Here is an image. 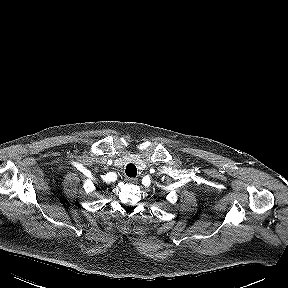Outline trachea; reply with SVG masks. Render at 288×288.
<instances>
[{"label": "trachea", "instance_id": "trachea-1", "mask_svg": "<svg viewBox=\"0 0 288 288\" xmlns=\"http://www.w3.org/2000/svg\"><path fill=\"white\" fill-rule=\"evenodd\" d=\"M126 175L129 177H136L137 175V168L134 164L130 163L126 166Z\"/></svg>", "mask_w": 288, "mask_h": 288}]
</instances>
